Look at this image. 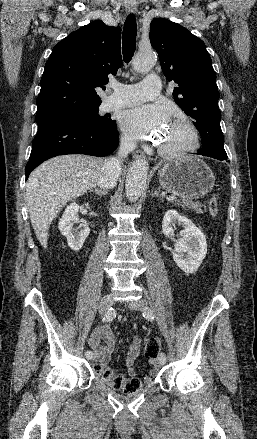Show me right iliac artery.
<instances>
[{
    "instance_id": "obj_1",
    "label": "right iliac artery",
    "mask_w": 257,
    "mask_h": 439,
    "mask_svg": "<svg viewBox=\"0 0 257 439\" xmlns=\"http://www.w3.org/2000/svg\"><path fill=\"white\" fill-rule=\"evenodd\" d=\"M115 316H116L115 311L110 308L109 311L106 312V314L102 318V322L112 321L115 318ZM85 356L86 358L91 359L93 357V353L90 350H87L85 352Z\"/></svg>"
}]
</instances>
